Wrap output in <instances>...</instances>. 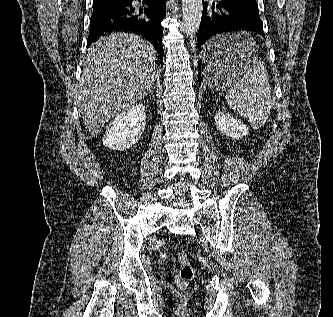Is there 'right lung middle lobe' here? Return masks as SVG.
I'll return each instance as SVG.
<instances>
[{
    "label": "right lung middle lobe",
    "mask_w": 333,
    "mask_h": 317,
    "mask_svg": "<svg viewBox=\"0 0 333 317\" xmlns=\"http://www.w3.org/2000/svg\"><path fill=\"white\" fill-rule=\"evenodd\" d=\"M108 2H113V1H104V0H93V5H100Z\"/></svg>",
    "instance_id": "dd1d6c3e"
}]
</instances>
